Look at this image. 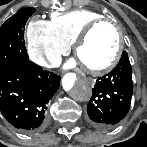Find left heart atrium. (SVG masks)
Wrapping results in <instances>:
<instances>
[{
    "mask_svg": "<svg viewBox=\"0 0 147 147\" xmlns=\"http://www.w3.org/2000/svg\"><path fill=\"white\" fill-rule=\"evenodd\" d=\"M75 65V62L74 61H70L68 64H67V67H72Z\"/></svg>",
    "mask_w": 147,
    "mask_h": 147,
    "instance_id": "39dd6f15",
    "label": "left heart atrium"
}]
</instances>
